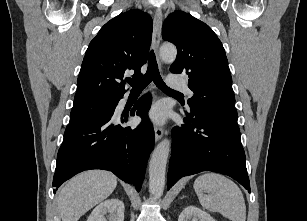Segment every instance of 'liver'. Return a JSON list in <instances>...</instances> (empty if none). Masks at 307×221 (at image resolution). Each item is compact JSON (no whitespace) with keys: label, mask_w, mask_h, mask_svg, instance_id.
Returning a JSON list of instances; mask_svg holds the SVG:
<instances>
[{"label":"liver","mask_w":307,"mask_h":221,"mask_svg":"<svg viewBox=\"0 0 307 221\" xmlns=\"http://www.w3.org/2000/svg\"><path fill=\"white\" fill-rule=\"evenodd\" d=\"M116 186V176L104 170H90L74 176L58 193L57 204L62 221H78L88 210L110 196Z\"/></svg>","instance_id":"liver-1"}]
</instances>
